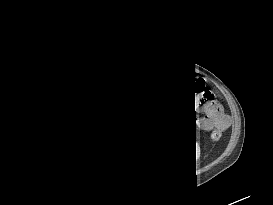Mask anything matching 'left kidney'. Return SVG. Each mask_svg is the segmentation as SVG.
<instances>
[{"label":"left kidney","mask_w":273,"mask_h":205,"mask_svg":"<svg viewBox=\"0 0 273 205\" xmlns=\"http://www.w3.org/2000/svg\"><path fill=\"white\" fill-rule=\"evenodd\" d=\"M199 146H198V144H196V155H198L199 154Z\"/></svg>","instance_id":"obj_1"}]
</instances>
